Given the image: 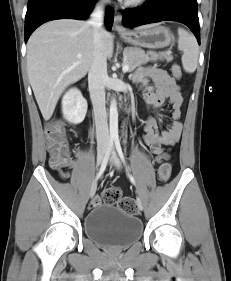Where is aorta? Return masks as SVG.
<instances>
[{
  "label": "aorta",
  "instance_id": "obj_1",
  "mask_svg": "<svg viewBox=\"0 0 231 281\" xmlns=\"http://www.w3.org/2000/svg\"><path fill=\"white\" fill-rule=\"evenodd\" d=\"M109 125L111 137H118V110L115 98H112L110 102Z\"/></svg>",
  "mask_w": 231,
  "mask_h": 281
}]
</instances>
